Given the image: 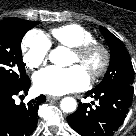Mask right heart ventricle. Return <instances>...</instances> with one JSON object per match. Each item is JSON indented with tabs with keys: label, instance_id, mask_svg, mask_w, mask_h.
<instances>
[{
	"label": "right heart ventricle",
	"instance_id": "e07e8e85",
	"mask_svg": "<svg viewBox=\"0 0 136 136\" xmlns=\"http://www.w3.org/2000/svg\"><path fill=\"white\" fill-rule=\"evenodd\" d=\"M51 35L55 42L69 48L95 40L93 33L89 29L76 23L53 28Z\"/></svg>",
	"mask_w": 136,
	"mask_h": 136
}]
</instances>
